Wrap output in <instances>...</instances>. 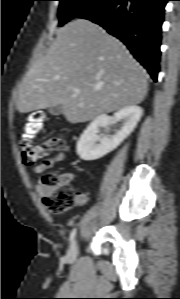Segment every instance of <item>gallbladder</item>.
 <instances>
[{
	"instance_id": "gallbladder-1",
	"label": "gallbladder",
	"mask_w": 180,
	"mask_h": 299,
	"mask_svg": "<svg viewBox=\"0 0 180 299\" xmlns=\"http://www.w3.org/2000/svg\"><path fill=\"white\" fill-rule=\"evenodd\" d=\"M62 112H63V110H62L61 105H56V106H53L49 109V113L54 115V116L60 115Z\"/></svg>"
}]
</instances>
